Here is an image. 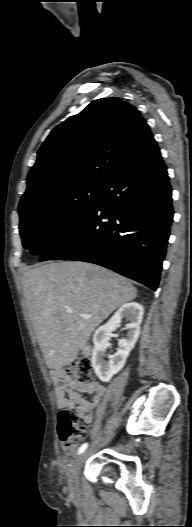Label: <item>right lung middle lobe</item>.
Listing matches in <instances>:
<instances>
[{
    "mask_svg": "<svg viewBox=\"0 0 192 527\" xmlns=\"http://www.w3.org/2000/svg\"><path fill=\"white\" fill-rule=\"evenodd\" d=\"M103 187L83 183L19 205L23 246L33 255L47 252L85 219Z\"/></svg>",
    "mask_w": 192,
    "mask_h": 527,
    "instance_id": "obj_1",
    "label": "right lung middle lobe"
}]
</instances>
